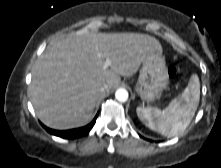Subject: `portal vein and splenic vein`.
I'll return each mask as SVG.
<instances>
[{"mask_svg":"<svg viewBox=\"0 0 221 168\" xmlns=\"http://www.w3.org/2000/svg\"><path fill=\"white\" fill-rule=\"evenodd\" d=\"M111 65H112V62H111L110 58H109V57H106L105 63H104V68L107 69V68H109Z\"/></svg>","mask_w":221,"mask_h":168,"instance_id":"1","label":"portal vein and splenic vein"}]
</instances>
